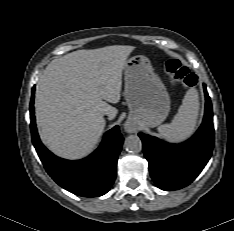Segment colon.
I'll list each match as a JSON object with an SVG mask.
<instances>
[{
  "label": "colon",
  "mask_w": 234,
  "mask_h": 231,
  "mask_svg": "<svg viewBox=\"0 0 234 231\" xmlns=\"http://www.w3.org/2000/svg\"><path fill=\"white\" fill-rule=\"evenodd\" d=\"M167 78L170 82L185 88H192L197 84V76L177 59H170L165 65Z\"/></svg>",
  "instance_id": "obj_1"
}]
</instances>
